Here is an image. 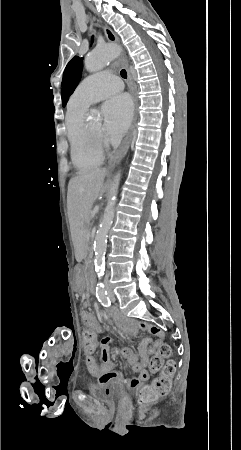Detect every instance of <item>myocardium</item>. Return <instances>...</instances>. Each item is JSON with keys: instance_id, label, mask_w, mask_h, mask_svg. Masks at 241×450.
I'll return each instance as SVG.
<instances>
[{"instance_id": "f54148a6", "label": "myocardium", "mask_w": 241, "mask_h": 450, "mask_svg": "<svg viewBox=\"0 0 241 450\" xmlns=\"http://www.w3.org/2000/svg\"><path fill=\"white\" fill-rule=\"evenodd\" d=\"M83 128V127H82ZM84 136H80L78 141L81 144V149H103L102 138L100 131L97 128L84 129L82 131ZM96 157H103V152H96Z\"/></svg>"}]
</instances>
